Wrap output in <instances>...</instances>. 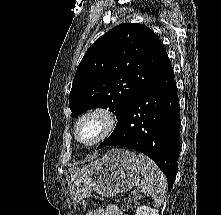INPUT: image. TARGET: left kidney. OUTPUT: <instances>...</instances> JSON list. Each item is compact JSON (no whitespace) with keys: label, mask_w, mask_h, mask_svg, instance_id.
Instances as JSON below:
<instances>
[{"label":"left kidney","mask_w":221,"mask_h":215,"mask_svg":"<svg viewBox=\"0 0 221 215\" xmlns=\"http://www.w3.org/2000/svg\"><path fill=\"white\" fill-rule=\"evenodd\" d=\"M135 215H159L158 210L150 208L149 206L143 205L136 209Z\"/></svg>","instance_id":"left-kidney-1"}]
</instances>
